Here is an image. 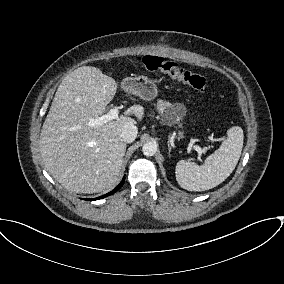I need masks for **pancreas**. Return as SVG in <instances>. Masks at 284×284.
<instances>
[{
    "mask_svg": "<svg viewBox=\"0 0 284 284\" xmlns=\"http://www.w3.org/2000/svg\"><path fill=\"white\" fill-rule=\"evenodd\" d=\"M156 107H157L158 112L162 116L163 122L167 125L178 124L180 118L186 112L184 105L179 104V103L173 105L169 102H165L162 100H158ZM169 113L174 114L175 117L173 120L168 119ZM179 127H181V124L179 125ZM182 136H183V133L179 132V137L181 138Z\"/></svg>",
    "mask_w": 284,
    "mask_h": 284,
    "instance_id": "1",
    "label": "pancreas"
}]
</instances>
